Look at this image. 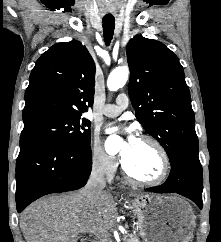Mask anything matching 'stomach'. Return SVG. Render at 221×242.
Segmentation results:
<instances>
[{
  "mask_svg": "<svg viewBox=\"0 0 221 242\" xmlns=\"http://www.w3.org/2000/svg\"><path fill=\"white\" fill-rule=\"evenodd\" d=\"M143 242H190L196 217L177 195H141L130 201Z\"/></svg>",
  "mask_w": 221,
  "mask_h": 242,
  "instance_id": "stomach-1",
  "label": "stomach"
}]
</instances>
